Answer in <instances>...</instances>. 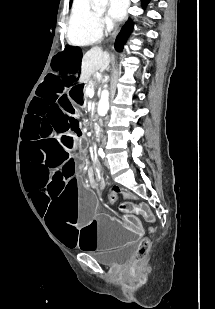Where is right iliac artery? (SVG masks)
<instances>
[{
	"label": "right iliac artery",
	"instance_id": "82829eb1",
	"mask_svg": "<svg viewBox=\"0 0 215 309\" xmlns=\"http://www.w3.org/2000/svg\"><path fill=\"white\" fill-rule=\"evenodd\" d=\"M99 155H100L102 158H104V157H105V153L103 152V150H102V149H99Z\"/></svg>",
	"mask_w": 215,
	"mask_h": 309
}]
</instances>
